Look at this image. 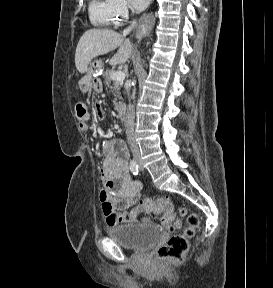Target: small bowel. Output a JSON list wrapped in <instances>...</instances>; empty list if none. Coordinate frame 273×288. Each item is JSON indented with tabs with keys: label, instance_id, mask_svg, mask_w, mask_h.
I'll return each instance as SVG.
<instances>
[{
	"label": "small bowel",
	"instance_id": "obj_1",
	"mask_svg": "<svg viewBox=\"0 0 273 288\" xmlns=\"http://www.w3.org/2000/svg\"><path fill=\"white\" fill-rule=\"evenodd\" d=\"M97 118L102 119L103 113L94 110ZM77 116L82 132H89L90 115L83 107L77 108ZM104 161L100 170V177L104 188L100 192L102 210L106 223L115 227L122 224L136 222L144 212L138 201L142 184L132 179L129 174L128 152L125 144L118 139H108L103 143Z\"/></svg>",
	"mask_w": 273,
	"mask_h": 288
}]
</instances>
